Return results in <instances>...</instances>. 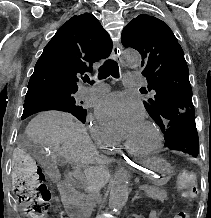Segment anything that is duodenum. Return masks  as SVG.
Segmentation results:
<instances>
[{
  "instance_id": "obj_1",
  "label": "duodenum",
  "mask_w": 211,
  "mask_h": 218,
  "mask_svg": "<svg viewBox=\"0 0 211 218\" xmlns=\"http://www.w3.org/2000/svg\"><path fill=\"white\" fill-rule=\"evenodd\" d=\"M59 191L70 218H82L80 201L72 184L69 181L60 182Z\"/></svg>"
}]
</instances>
